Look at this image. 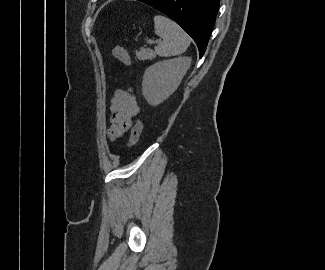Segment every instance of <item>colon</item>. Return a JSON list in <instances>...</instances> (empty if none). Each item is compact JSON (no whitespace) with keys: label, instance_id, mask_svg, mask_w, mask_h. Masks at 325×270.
<instances>
[{"label":"colon","instance_id":"5ec220e1","mask_svg":"<svg viewBox=\"0 0 325 270\" xmlns=\"http://www.w3.org/2000/svg\"><path fill=\"white\" fill-rule=\"evenodd\" d=\"M112 54L117 60L122 62L124 65L129 66L131 64L130 56H129L128 52L123 47L115 46L112 50ZM142 129H143L142 121L137 120L131 130V134H130V138H129L130 146H134L138 142L140 135L142 133Z\"/></svg>","mask_w":325,"mask_h":270}]
</instances>
